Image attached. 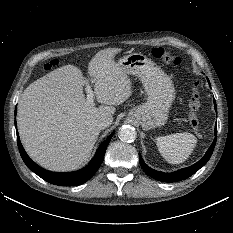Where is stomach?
<instances>
[{
    "instance_id": "obj_1",
    "label": "stomach",
    "mask_w": 233,
    "mask_h": 233,
    "mask_svg": "<svg viewBox=\"0 0 233 233\" xmlns=\"http://www.w3.org/2000/svg\"><path fill=\"white\" fill-rule=\"evenodd\" d=\"M118 64L127 74L140 79L147 94V101L131 109L128 118L140 123L144 130L164 125L175 99V88L169 76L142 53H130L119 59Z\"/></svg>"
}]
</instances>
